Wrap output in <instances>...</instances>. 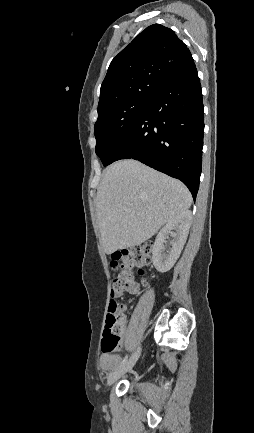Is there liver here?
Masks as SVG:
<instances>
[{"label":"liver","instance_id":"6515ba94","mask_svg":"<svg viewBox=\"0 0 254 433\" xmlns=\"http://www.w3.org/2000/svg\"><path fill=\"white\" fill-rule=\"evenodd\" d=\"M180 181L133 159L107 167L97 190L96 213L106 254L151 238L191 206Z\"/></svg>","mask_w":254,"mask_h":433}]
</instances>
